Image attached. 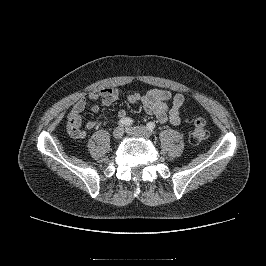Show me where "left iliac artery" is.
<instances>
[{"label": "left iliac artery", "instance_id": "1", "mask_svg": "<svg viewBox=\"0 0 266 266\" xmlns=\"http://www.w3.org/2000/svg\"><path fill=\"white\" fill-rule=\"evenodd\" d=\"M155 123L154 122H148L147 123V128L149 129V130H153L154 128H155Z\"/></svg>", "mask_w": 266, "mask_h": 266}]
</instances>
